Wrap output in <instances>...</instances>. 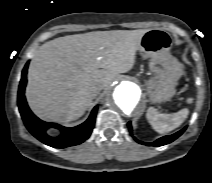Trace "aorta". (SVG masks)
Segmentation results:
<instances>
[{"label": "aorta", "mask_w": 212, "mask_h": 183, "mask_svg": "<svg viewBox=\"0 0 212 183\" xmlns=\"http://www.w3.org/2000/svg\"><path fill=\"white\" fill-rule=\"evenodd\" d=\"M140 87L131 81H122L114 87L109 99L112 105L125 114L134 111L140 101Z\"/></svg>", "instance_id": "obj_1"}]
</instances>
